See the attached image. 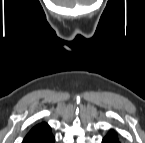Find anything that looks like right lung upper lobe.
Listing matches in <instances>:
<instances>
[{
	"label": "right lung upper lobe",
	"instance_id": "right-lung-upper-lobe-1",
	"mask_svg": "<svg viewBox=\"0 0 145 143\" xmlns=\"http://www.w3.org/2000/svg\"><path fill=\"white\" fill-rule=\"evenodd\" d=\"M24 143H54V136L46 123L33 127L24 138Z\"/></svg>",
	"mask_w": 145,
	"mask_h": 143
}]
</instances>
